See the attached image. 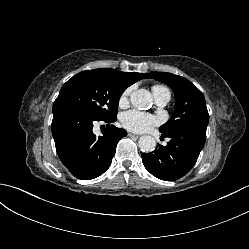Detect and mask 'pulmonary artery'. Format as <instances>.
<instances>
[{
  "mask_svg": "<svg viewBox=\"0 0 249 249\" xmlns=\"http://www.w3.org/2000/svg\"><path fill=\"white\" fill-rule=\"evenodd\" d=\"M153 95H154L156 104L160 107L167 105L171 99V95L168 90L155 91Z\"/></svg>",
  "mask_w": 249,
  "mask_h": 249,
  "instance_id": "e3ab8cb5",
  "label": "pulmonary artery"
}]
</instances>
